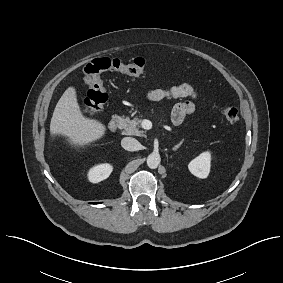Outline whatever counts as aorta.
Listing matches in <instances>:
<instances>
[{"label": "aorta", "instance_id": "aorta-1", "mask_svg": "<svg viewBox=\"0 0 283 283\" xmlns=\"http://www.w3.org/2000/svg\"><path fill=\"white\" fill-rule=\"evenodd\" d=\"M161 161L160 155L158 153H151L148 157H147V165L149 168L151 169H155L159 166Z\"/></svg>", "mask_w": 283, "mask_h": 283}]
</instances>
